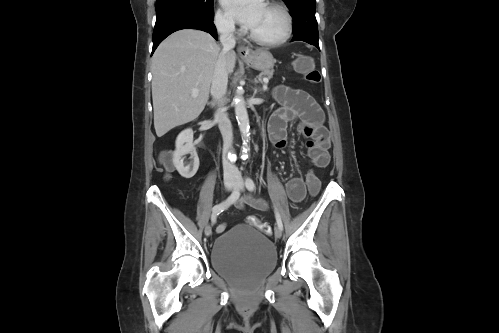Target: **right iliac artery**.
Returning a JSON list of instances; mask_svg holds the SVG:
<instances>
[{"label": "right iliac artery", "instance_id": "1", "mask_svg": "<svg viewBox=\"0 0 499 333\" xmlns=\"http://www.w3.org/2000/svg\"><path fill=\"white\" fill-rule=\"evenodd\" d=\"M240 196L239 191L235 188L231 195L222 203L215 205L212 209L211 221L215 222L216 217L223 212L226 208H228L231 204H233Z\"/></svg>", "mask_w": 499, "mask_h": 333}]
</instances>
